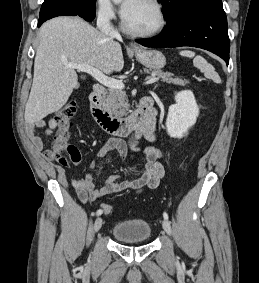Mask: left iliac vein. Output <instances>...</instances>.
Listing matches in <instances>:
<instances>
[{"instance_id": "obj_1", "label": "left iliac vein", "mask_w": 259, "mask_h": 283, "mask_svg": "<svg viewBox=\"0 0 259 283\" xmlns=\"http://www.w3.org/2000/svg\"><path fill=\"white\" fill-rule=\"evenodd\" d=\"M162 227L168 235H171V227H170V223L168 222V220L164 219L162 221Z\"/></svg>"}]
</instances>
